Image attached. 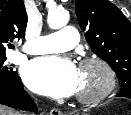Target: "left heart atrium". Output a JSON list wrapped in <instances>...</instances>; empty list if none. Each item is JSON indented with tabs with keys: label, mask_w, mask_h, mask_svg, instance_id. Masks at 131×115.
Instances as JSON below:
<instances>
[{
	"label": "left heart atrium",
	"mask_w": 131,
	"mask_h": 115,
	"mask_svg": "<svg viewBox=\"0 0 131 115\" xmlns=\"http://www.w3.org/2000/svg\"><path fill=\"white\" fill-rule=\"evenodd\" d=\"M25 84L34 92L50 97L74 95L79 86V70L65 57L44 56L29 61L22 69Z\"/></svg>",
	"instance_id": "obj_1"
}]
</instances>
